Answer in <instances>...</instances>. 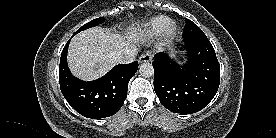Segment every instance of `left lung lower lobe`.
I'll return each mask as SVG.
<instances>
[{
	"label": "left lung lower lobe",
	"instance_id": "left-lung-lower-lobe-1",
	"mask_svg": "<svg viewBox=\"0 0 276 138\" xmlns=\"http://www.w3.org/2000/svg\"><path fill=\"white\" fill-rule=\"evenodd\" d=\"M188 61L180 66L166 53L152 62L154 89L161 104L174 113L190 114L203 109L217 93L220 64L206 35L184 37Z\"/></svg>",
	"mask_w": 276,
	"mask_h": 138
}]
</instances>
